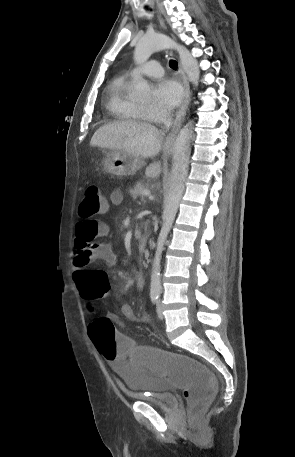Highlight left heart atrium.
<instances>
[{
	"instance_id": "obj_1",
	"label": "left heart atrium",
	"mask_w": 295,
	"mask_h": 457,
	"mask_svg": "<svg viewBox=\"0 0 295 457\" xmlns=\"http://www.w3.org/2000/svg\"><path fill=\"white\" fill-rule=\"evenodd\" d=\"M156 103L166 109L176 107L182 99V89L173 79L160 80L154 89Z\"/></svg>"
}]
</instances>
